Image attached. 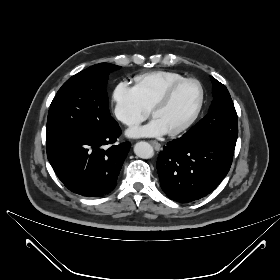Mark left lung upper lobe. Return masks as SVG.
<instances>
[{
  "label": "left lung upper lobe",
  "mask_w": 280,
  "mask_h": 280,
  "mask_svg": "<svg viewBox=\"0 0 280 280\" xmlns=\"http://www.w3.org/2000/svg\"><path fill=\"white\" fill-rule=\"evenodd\" d=\"M214 99L208 114L183 136L205 137L235 147L238 137L237 113L227 88L212 76Z\"/></svg>",
  "instance_id": "1"
}]
</instances>
